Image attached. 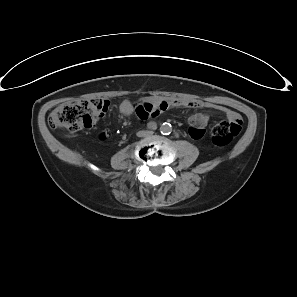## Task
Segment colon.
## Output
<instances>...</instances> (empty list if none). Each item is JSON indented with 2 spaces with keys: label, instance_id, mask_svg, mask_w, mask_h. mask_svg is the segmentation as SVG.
I'll return each mask as SVG.
<instances>
[{
  "label": "colon",
  "instance_id": "obj_1",
  "mask_svg": "<svg viewBox=\"0 0 297 297\" xmlns=\"http://www.w3.org/2000/svg\"><path fill=\"white\" fill-rule=\"evenodd\" d=\"M109 102L101 98L79 99L56 107L49 115V125L54 129L77 132L93 127L104 116ZM242 127L240 115L228 121H221L211 131V140L217 146H225L239 134Z\"/></svg>",
  "mask_w": 297,
  "mask_h": 297
}]
</instances>
